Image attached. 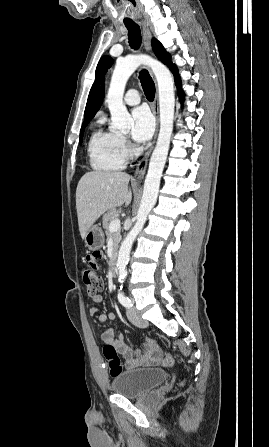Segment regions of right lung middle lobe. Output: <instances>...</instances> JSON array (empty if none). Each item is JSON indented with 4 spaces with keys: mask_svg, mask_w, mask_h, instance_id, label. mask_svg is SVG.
<instances>
[{
    "mask_svg": "<svg viewBox=\"0 0 269 447\" xmlns=\"http://www.w3.org/2000/svg\"><path fill=\"white\" fill-rule=\"evenodd\" d=\"M86 126H87V124L84 125V126L82 127V129H81V132H80V139H79V143H80V144L82 143L83 130H84V128H85Z\"/></svg>",
    "mask_w": 269,
    "mask_h": 447,
    "instance_id": "dd1d6c3e",
    "label": "right lung middle lobe"
}]
</instances>
